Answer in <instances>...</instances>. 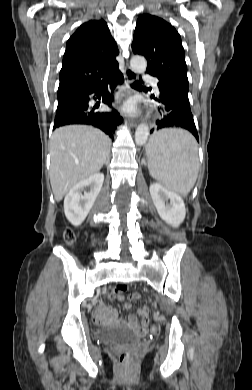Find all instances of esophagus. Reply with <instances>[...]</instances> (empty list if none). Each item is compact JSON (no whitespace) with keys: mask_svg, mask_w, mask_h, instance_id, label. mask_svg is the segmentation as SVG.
Here are the masks:
<instances>
[{"mask_svg":"<svg viewBox=\"0 0 252 390\" xmlns=\"http://www.w3.org/2000/svg\"><path fill=\"white\" fill-rule=\"evenodd\" d=\"M125 76H126V79L128 82H133L137 79V75L136 73L128 66L125 67ZM126 123L130 126V127H136L137 126V121L133 118L131 119H128L126 121Z\"/></svg>","mask_w":252,"mask_h":390,"instance_id":"esophagus-1","label":"esophagus"}]
</instances>
